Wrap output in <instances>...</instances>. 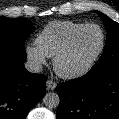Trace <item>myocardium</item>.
<instances>
[{"label": "myocardium", "instance_id": "1", "mask_svg": "<svg viewBox=\"0 0 119 119\" xmlns=\"http://www.w3.org/2000/svg\"><path fill=\"white\" fill-rule=\"evenodd\" d=\"M89 28H97L101 33V44H100L98 51L91 58V60L88 63H86L84 66H82L78 69H75V70H71V71L63 70L61 68V61L70 52L76 39L80 36V34H82L85 30H87ZM105 45H106V35H105L103 28L101 26H99L98 24H93V23L85 24L84 26L79 28L77 31H75L71 35V37L68 39L66 44L63 46V48L55 55L54 63H53L55 72L59 76H61L62 78H65V79H75V78H79V77L85 75L93 68V66L99 60V58L101 57V55L105 49Z\"/></svg>", "mask_w": 119, "mask_h": 119}]
</instances>
